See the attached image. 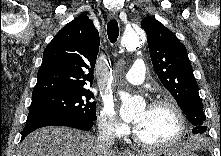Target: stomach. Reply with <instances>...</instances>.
I'll return each mask as SVG.
<instances>
[{
  "instance_id": "obj_1",
  "label": "stomach",
  "mask_w": 221,
  "mask_h": 156,
  "mask_svg": "<svg viewBox=\"0 0 221 156\" xmlns=\"http://www.w3.org/2000/svg\"><path fill=\"white\" fill-rule=\"evenodd\" d=\"M156 156H197L192 149L186 146L166 147L158 151Z\"/></svg>"
}]
</instances>
